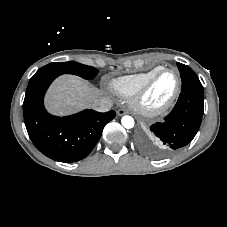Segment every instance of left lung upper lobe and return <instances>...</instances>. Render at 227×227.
Returning a JSON list of instances; mask_svg holds the SVG:
<instances>
[{"instance_id": "5c2ea615", "label": "left lung upper lobe", "mask_w": 227, "mask_h": 227, "mask_svg": "<svg viewBox=\"0 0 227 227\" xmlns=\"http://www.w3.org/2000/svg\"><path fill=\"white\" fill-rule=\"evenodd\" d=\"M177 66L181 74L182 89L193 88L203 91V87L198 76L190 67L179 62L177 63Z\"/></svg>"}]
</instances>
